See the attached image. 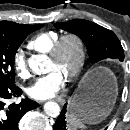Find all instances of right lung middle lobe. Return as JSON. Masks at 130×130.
Returning a JSON list of instances; mask_svg holds the SVG:
<instances>
[{"label":"right lung middle lobe","instance_id":"dd1d6c3e","mask_svg":"<svg viewBox=\"0 0 130 130\" xmlns=\"http://www.w3.org/2000/svg\"><path fill=\"white\" fill-rule=\"evenodd\" d=\"M43 25H25L17 32L0 31V82L14 84V56L26 36Z\"/></svg>","mask_w":130,"mask_h":130}]
</instances>
